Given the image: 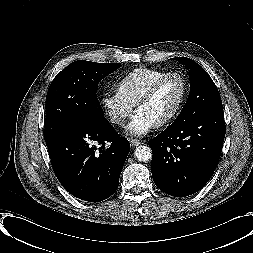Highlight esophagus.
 <instances>
[{
  "mask_svg": "<svg viewBox=\"0 0 253 253\" xmlns=\"http://www.w3.org/2000/svg\"><path fill=\"white\" fill-rule=\"evenodd\" d=\"M129 142L134 147L141 144L139 140H136V139H133V138H129Z\"/></svg>",
  "mask_w": 253,
  "mask_h": 253,
  "instance_id": "esophagus-1",
  "label": "esophagus"
}]
</instances>
